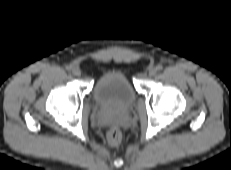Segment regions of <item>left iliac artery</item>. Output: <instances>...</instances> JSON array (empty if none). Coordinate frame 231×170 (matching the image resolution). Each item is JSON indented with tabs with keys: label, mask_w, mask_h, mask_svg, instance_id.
Here are the masks:
<instances>
[{
	"label": "left iliac artery",
	"mask_w": 231,
	"mask_h": 170,
	"mask_svg": "<svg viewBox=\"0 0 231 170\" xmlns=\"http://www.w3.org/2000/svg\"><path fill=\"white\" fill-rule=\"evenodd\" d=\"M156 69L160 71L163 69V66L161 64H159V65H157Z\"/></svg>",
	"instance_id": "1"
}]
</instances>
